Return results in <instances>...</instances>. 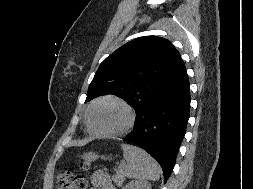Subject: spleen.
<instances>
[{"label":"spleen","instance_id":"obj_1","mask_svg":"<svg viewBox=\"0 0 253 189\" xmlns=\"http://www.w3.org/2000/svg\"><path fill=\"white\" fill-rule=\"evenodd\" d=\"M121 148L127 161L124 167L125 176L139 180L159 179L161 168L145 150L130 144H122Z\"/></svg>","mask_w":253,"mask_h":189}]
</instances>
